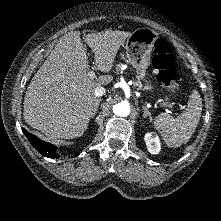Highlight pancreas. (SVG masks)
I'll return each instance as SVG.
<instances>
[{
    "instance_id": "cf45deb5",
    "label": "pancreas",
    "mask_w": 221,
    "mask_h": 221,
    "mask_svg": "<svg viewBox=\"0 0 221 221\" xmlns=\"http://www.w3.org/2000/svg\"><path fill=\"white\" fill-rule=\"evenodd\" d=\"M134 85L137 87L138 90H142L143 89V85H142V83L139 80L137 82H135Z\"/></svg>"
}]
</instances>
